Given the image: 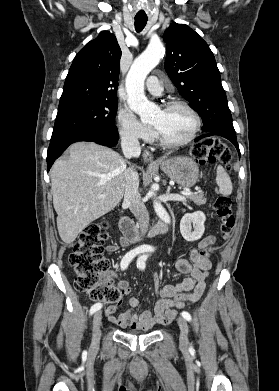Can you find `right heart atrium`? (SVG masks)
Returning a JSON list of instances; mask_svg holds the SVG:
<instances>
[{
	"mask_svg": "<svg viewBox=\"0 0 279 391\" xmlns=\"http://www.w3.org/2000/svg\"><path fill=\"white\" fill-rule=\"evenodd\" d=\"M119 133L125 140L137 142L152 136L149 125L141 122L129 109L121 108L117 114Z\"/></svg>",
	"mask_w": 279,
	"mask_h": 391,
	"instance_id": "d8ad5b80",
	"label": "right heart atrium"
}]
</instances>
